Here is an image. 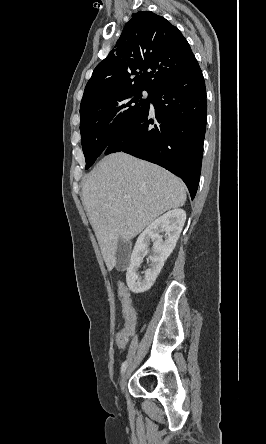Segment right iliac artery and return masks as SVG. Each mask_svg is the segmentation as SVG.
Here are the masks:
<instances>
[{
    "mask_svg": "<svg viewBox=\"0 0 266 444\" xmlns=\"http://www.w3.org/2000/svg\"><path fill=\"white\" fill-rule=\"evenodd\" d=\"M126 368H127V361L123 362L121 366V373L125 372Z\"/></svg>",
    "mask_w": 266,
    "mask_h": 444,
    "instance_id": "82829eb1",
    "label": "right iliac artery"
}]
</instances>
